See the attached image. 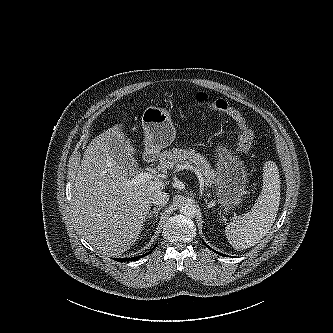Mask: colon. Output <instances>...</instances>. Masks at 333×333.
<instances>
[{"label": "colon", "mask_w": 333, "mask_h": 333, "mask_svg": "<svg viewBox=\"0 0 333 333\" xmlns=\"http://www.w3.org/2000/svg\"><path fill=\"white\" fill-rule=\"evenodd\" d=\"M195 99L199 105L222 112L230 117L237 127L240 152L242 154L249 153L253 144L254 135L243 116L227 100L210 99L205 92H198Z\"/></svg>", "instance_id": "colon-1"}]
</instances>
